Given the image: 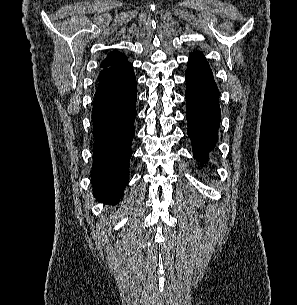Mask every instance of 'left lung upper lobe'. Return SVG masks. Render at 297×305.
I'll use <instances>...</instances> for the list:
<instances>
[{"instance_id":"obj_1","label":"left lung upper lobe","mask_w":297,"mask_h":305,"mask_svg":"<svg viewBox=\"0 0 297 305\" xmlns=\"http://www.w3.org/2000/svg\"><path fill=\"white\" fill-rule=\"evenodd\" d=\"M192 65H208V62L206 61V58L201 52H194L191 53L189 56V60L187 63V66H192Z\"/></svg>"}]
</instances>
